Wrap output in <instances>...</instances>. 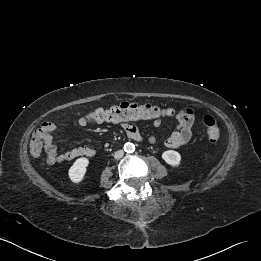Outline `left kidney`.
<instances>
[{"mask_svg": "<svg viewBox=\"0 0 261 261\" xmlns=\"http://www.w3.org/2000/svg\"><path fill=\"white\" fill-rule=\"evenodd\" d=\"M162 159L170 166L177 167L180 165L181 156L174 150H167L162 153Z\"/></svg>", "mask_w": 261, "mask_h": 261, "instance_id": "5707ae66", "label": "left kidney"}]
</instances>
